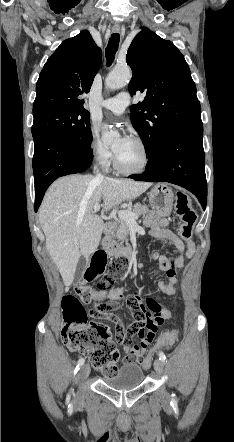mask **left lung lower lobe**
Returning <instances> with one entry per match:
<instances>
[{
    "label": "left lung lower lobe",
    "mask_w": 234,
    "mask_h": 442,
    "mask_svg": "<svg viewBox=\"0 0 234 442\" xmlns=\"http://www.w3.org/2000/svg\"><path fill=\"white\" fill-rule=\"evenodd\" d=\"M202 138L201 120L177 127L164 138L155 159L147 164L146 172L131 178L182 186L196 195L205 209L207 183Z\"/></svg>",
    "instance_id": "0a47b994"
}]
</instances>
